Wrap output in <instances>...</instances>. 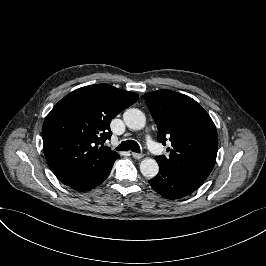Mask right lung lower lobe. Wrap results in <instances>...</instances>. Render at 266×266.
<instances>
[{
	"label": "right lung lower lobe",
	"mask_w": 266,
	"mask_h": 266,
	"mask_svg": "<svg viewBox=\"0 0 266 266\" xmlns=\"http://www.w3.org/2000/svg\"><path fill=\"white\" fill-rule=\"evenodd\" d=\"M112 166H108L100 171L91 172L84 174L82 177H80L77 181L72 182L68 186L71 188L77 190V191H87L90 190L99 184H101L110 174V171L112 169Z\"/></svg>",
	"instance_id": "98d812e1"
}]
</instances>
